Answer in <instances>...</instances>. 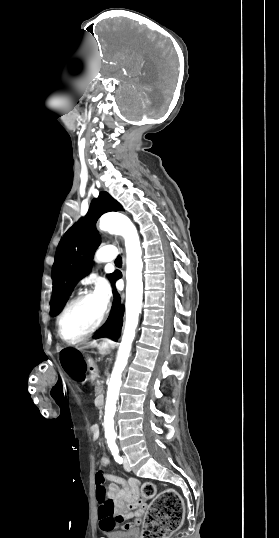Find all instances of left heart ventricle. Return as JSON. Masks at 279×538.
Masks as SVG:
<instances>
[{
	"label": "left heart ventricle",
	"mask_w": 279,
	"mask_h": 538,
	"mask_svg": "<svg viewBox=\"0 0 279 538\" xmlns=\"http://www.w3.org/2000/svg\"><path fill=\"white\" fill-rule=\"evenodd\" d=\"M102 309L96 295L77 302L62 320L63 336L69 341H74L86 333L93 327Z\"/></svg>",
	"instance_id": "obj_1"
}]
</instances>
